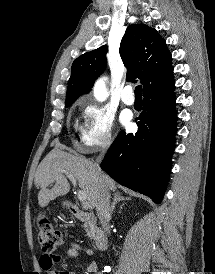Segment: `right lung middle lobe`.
Returning a JSON list of instances; mask_svg holds the SVG:
<instances>
[{
	"instance_id": "obj_1",
	"label": "right lung middle lobe",
	"mask_w": 215,
	"mask_h": 274,
	"mask_svg": "<svg viewBox=\"0 0 215 274\" xmlns=\"http://www.w3.org/2000/svg\"><path fill=\"white\" fill-rule=\"evenodd\" d=\"M71 104H66V107L70 106Z\"/></svg>"
}]
</instances>
